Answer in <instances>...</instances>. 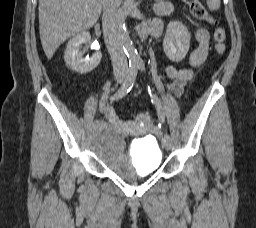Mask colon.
I'll return each instance as SVG.
<instances>
[{"label":"colon","instance_id":"obj_1","mask_svg":"<svg viewBox=\"0 0 256 228\" xmlns=\"http://www.w3.org/2000/svg\"><path fill=\"white\" fill-rule=\"evenodd\" d=\"M190 9L191 14L199 20H204L212 25H215L214 30V41H215V51L217 54L222 55L225 50V39L226 32L222 26L217 25L216 20L209 14L206 7L199 0H183ZM137 122L141 126L149 127L153 123L151 115L147 113H141L137 116Z\"/></svg>","mask_w":256,"mask_h":228}]
</instances>
